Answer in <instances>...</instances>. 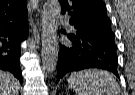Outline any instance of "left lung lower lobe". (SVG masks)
Segmentation results:
<instances>
[{
    "mask_svg": "<svg viewBox=\"0 0 135 95\" xmlns=\"http://www.w3.org/2000/svg\"><path fill=\"white\" fill-rule=\"evenodd\" d=\"M63 33V32H62ZM70 43L60 44L57 63V82L69 72L101 68L118 78L114 36L105 34H68Z\"/></svg>",
    "mask_w": 135,
    "mask_h": 95,
    "instance_id": "left-lung-lower-lobe-1",
    "label": "left lung lower lobe"
}]
</instances>
